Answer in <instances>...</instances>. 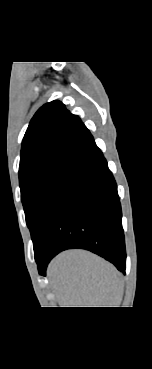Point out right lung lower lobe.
Here are the masks:
<instances>
[{
  "instance_id": "98d812e1",
  "label": "right lung lower lobe",
  "mask_w": 152,
  "mask_h": 369,
  "mask_svg": "<svg viewBox=\"0 0 152 369\" xmlns=\"http://www.w3.org/2000/svg\"><path fill=\"white\" fill-rule=\"evenodd\" d=\"M121 218L116 182L102 152L95 147L77 164L54 205L34 250L39 273L45 275L48 262L71 248L96 253L125 273Z\"/></svg>"
}]
</instances>
